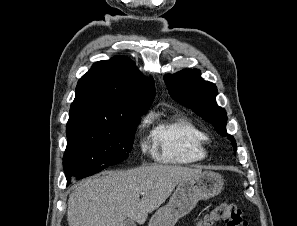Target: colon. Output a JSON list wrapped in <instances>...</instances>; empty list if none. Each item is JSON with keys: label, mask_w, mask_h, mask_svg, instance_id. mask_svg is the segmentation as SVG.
Masks as SVG:
<instances>
[{"label": "colon", "mask_w": 297, "mask_h": 226, "mask_svg": "<svg viewBox=\"0 0 297 226\" xmlns=\"http://www.w3.org/2000/svg\"><path fill=\"white\" fill-rule=\"evenodd\" d=\"M217 221H223L226 226H248L241 209L231 203L219 204L198 223V226H213Z\"/></svg>", "instance_id": "colon-1"}]
</instances>
